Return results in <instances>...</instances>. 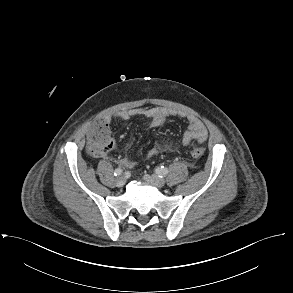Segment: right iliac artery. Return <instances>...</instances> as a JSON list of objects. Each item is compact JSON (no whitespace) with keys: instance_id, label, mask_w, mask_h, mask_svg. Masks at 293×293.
Segmentation results:
<instances>
[{"instance_id":"1","label":"right iliac artery","mask_w":293,"mask_h":293,"mask_svg":"<svg viewBox=\"0 0 293 293\" xmlns=\"http://www.w3.org/2000/svg\"><path fill=\"white\" fill-rule=\"evenodd\" d=\"M122 174V169L121 168H117V169H115V171H114V175L115 176H119V175H121Z\"/></svg>"}]
</instances>
